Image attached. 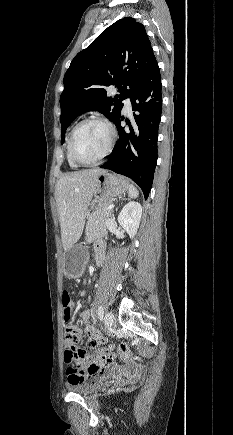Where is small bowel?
<instances>
[{
	"mask_svg": "<svg viewBox=\"0 0 233 435\" xmlns=\"http://www.w3.org/2000/svg\"><path fill=\"white\" fill-rule=\"evenodd\" d=\"M105 259V245L103 243H97L95 247V263L100 266ZM84 295V294H83ZM73 308V304H72ZM91 316V312L87 311L82 314L78 321L80 323H86L88 318ZM66 321V320H65ZM84 332L87 337L89 347H97L104 343V338L95 326L87 325L84 328ZM82 360L78 366H68L67 367V379L69 382H80L81 380H91L99 376H109L112 373H126V374H136L139 372V368L134 366L130 359L127 358L124 364H119L114 360L113 356H105L103 358V364L100 370L96 373H89L87 371L90 365L93 355L88 352L87 349H81Z\"/></svg>",
	"mask_w": 233,
	"mask_h": 435,
	"instance_id": "1",
	"label": "small bowel"
}]
</instances>
